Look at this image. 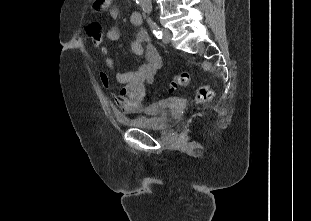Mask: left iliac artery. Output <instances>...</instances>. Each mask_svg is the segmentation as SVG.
Listing matches in <instances>:
<instances>
[{
	"label": "left iliac artery",
	"mask_w": 311,
	"mask_h": 221,
	"mask_svg": "<svg viewBox=\"0 0 311 221\" xmlns=\"http://www.w3.org/2000/svg\"><path fill=\"white\" fill-rule=\"evenodd\" d=\"M148 24L150 25V28H151L153 34L155 35V37L157 39H161L163 34H162V31H161L160 27L156 24V22H154L153 20L149 19L148 20Z\"/></svg>",
	"instance_id": "44dca946"
}]
</instances>
